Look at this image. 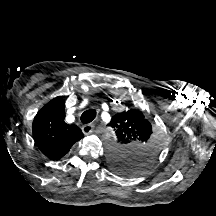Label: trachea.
Instances as JSON below:
<instances>
[{"instance_id": "trachea-1", "label": "trachea", "mask_w": 216, "mask_h": 216, "mask_svg": "<svg viewBox=\"0 0 216 216\" xmlns=\"http://www.w3.org/2000/svg\"><path fill=\"white\" fill-rule=\"evenodd\" d=\"M96 114H97L96 110L94 109H89L83 112V114L81 115V122L84 124H88L92 122L95 119Z\"/></svg>"}]
</instances>
